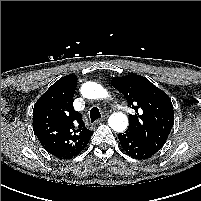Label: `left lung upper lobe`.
Here are the masks:
<instances>
[{
	"label": "left lung upper lobe",
	"instance_id": "left-lung-upper-lobe-1",
	"mask_svg": "<svg viewBox=\"0 0 201 201\" xmlns=\"http://www.w3.org/2000/svg\"><path fill=\"white\" fill-rule=\"evenodd\" d=\"M112 86L124 94L129 107L136 111L135 115H129L128 130L154 148H162L174 124L173 105L168 95L137 74L113 77Z\"/></svg>",
	"mask_w": 201,
	"mask_h": 201
}]
</instances>
